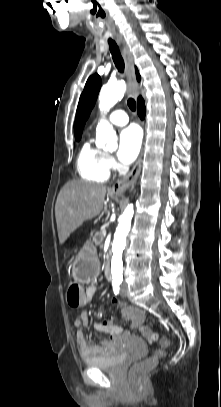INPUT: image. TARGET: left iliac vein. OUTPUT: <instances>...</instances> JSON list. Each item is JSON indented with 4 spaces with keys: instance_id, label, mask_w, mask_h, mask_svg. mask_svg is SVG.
Here are the masks:
<instances>
[{
    "instance_id": "left-iliac-vein-1",
    "label": "left iliac vein",
    "mask_w": 221,
    "mask_h": 407,
    "mask_svg": "<svg viewBox=\"0 0 221 407\" xmlns=\"http://www.w3.org/2000/svg\"><path fill=\"white\" fill-rule=\"evenodd\" d=\"M127 294H128V288H127L126 284H123V285L121 286V289H120V295H121L122 297H126Z\"/></svg>"
}]
</instances>
